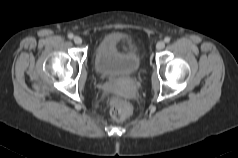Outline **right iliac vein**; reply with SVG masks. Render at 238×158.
I'll return each mask as SVG.
<instances>
[{
	"label": "right iliac vein",
	"instance_id": "1",
	"mask_svg": "<svg viewBox=\"0 0 238 158\" xmlns=\"http://www.w3.org/2000/svg\"><path fill=\"white\" fill-rule=\"evenodd\" d=\"M73 40H74V43L75 44H81L82 43V39H81V37H79V36H75L74 38H73Z\"/></svg>",
	"mask_w": 238,
	"mask_h": 158
}]
</instances>
